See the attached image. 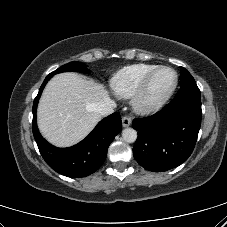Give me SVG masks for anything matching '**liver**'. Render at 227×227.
<instances>
[{
	"label": "liver",
	"instance_id": "6515ba94",
	"mask_svg": "<svg viewBox=\"0 0 227 227\" xmlns=\"http://www.w3.org/2000/svg\"><path fill=\"white\" fill-rule=\"evenodd\" d=\"M108 97L102 84L68 72L55 75L43 91L38 106L42 135L59 147L83 139L101 118L95 104Z\"/></svg>",
	"mask_w": 227,
	"mask_h": 227
}]
</instances>
